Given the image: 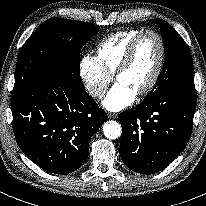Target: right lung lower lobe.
I'll return each instance as SVG.
<instances>
[{"mask_svg": "<svg viewBox=\"0 0 206 206\" xmlns=\"http://www.w3.org/2000/svg\"><path fill=\"white\" fill-rule=\"evenodd\" d=\"M18 146L37 166L55 174L81 167L90 138L107 114L84 90L55 77L42 78L11 100Z\"/></svg>", "mask_w": 206, "mask_h": 206, "instance_id": "obj_1", "label": "right lung lower lobe"}]
</instances>
